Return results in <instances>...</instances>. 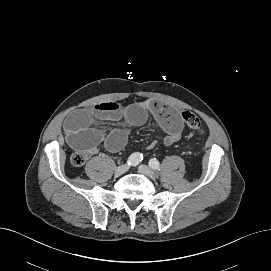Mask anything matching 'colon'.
Listing matches in <instances>:
<instances>
[{"mask_svg":"<svg viewBox=\"0 0 271 271\" xmlns=\"http://www.w3.org/2000/svg\"><path fill=\"white\" fill-rule=\"evenodd\" d=\"M182 119L184 120L186 126L191 130H200L201 129V121L200 119L190 111L182 112ZM87 159V155L82 152H77L72 155L71 163L74 166H82Z\"/></svg>","mask_w":271,"mask_h":271,"instance_id":"5ec220e1","label":"colon"}]
</instances>
